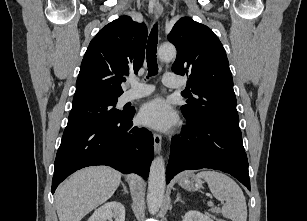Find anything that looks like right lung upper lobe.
<instances>
[{
    "mask_svg": "<svg viewBox=\"0 0 307 221\" xmlns=\"http://www.w3.org/2000/svg\"><path fill=\"white\" fill-rule=\"evenodd\" d=\"M147 34L146 25L129 16L103 27L82 60L73 104L118 98L123 76L137 73L143 63Z\"/></svg>",
    "mask_w": 307,
    "mask_h": 221,
    "instance_id": "right-lung-upper-lobe-1",
    "label": "right lung upper lobe"
}]
</instances>
